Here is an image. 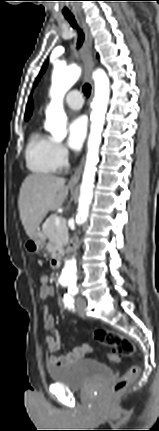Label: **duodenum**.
I'll use <instances>...</instances> for the list:
<instances>
[{
	"instance_id": "duodenum-1",
	"label": "duodenum",
	"mask_w": 159,
	"mask_h": 431,
	"mask_svg": "<svg viewBox=\"0 0 159 431\" xmlns=\"http://www.w3.org/2000/svg\"><path fill=\"white\" fill-rule=\"evenodd\" d=\"M64 259V253H57L52 258V267L58 268L61 266Z\"/></svg>"
}]
</instances>
